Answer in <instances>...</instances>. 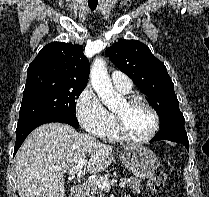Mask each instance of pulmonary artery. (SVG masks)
I'll list each match as a JSON object with an SVG mask.
<instances>
[{"label":"pulmonary artery","instance_id":"obj_1","mask_svg":"<svg viewBox=\"0 0 209 197\" xmlns=\"http://www.w3.org/2000/svg\"><path fill=\"white\" fill-rule=\"evenodd\" d=\"M111 79L114 87L122 93H128L132 88L130 78L123 72L113 71Z\"/></svg>","mask_w":209,"mask_h":197}]
</instances>
